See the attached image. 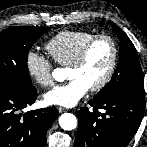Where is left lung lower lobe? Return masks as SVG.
Here are the masks:
<instances>
[{
  "mask_svg": "<svg viewBox=\"0 0 147 147\" xmlns=\"http://www.w3.org/2000/svg\"><path fill=\"white\" fill-rule=\"evenodd\" d=\"M89 104L93 110L84 107L76 112L79 125L74 147H127L142 121L145 99L117 95L93 98Z\"/></svg>",
  "mask_w": 147,
  "mask_h": 147,
  "instance_id": "obj_1",
  "label": "left lung lower lobe"
}]
</instances>
